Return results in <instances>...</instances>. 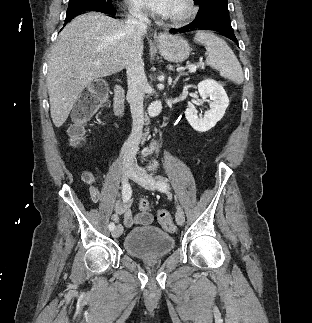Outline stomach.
I'll return each instance as SVG.
<instances>
[{"instance_id": "0dacf381", "label": "stomach", "mask_w": 312, "mask_h": 323, "mask_svg": "<svg viewBox=\"0 0 312 323\" xmlns=\"http://www.w3.org/2000/svg\"><path fill=\"white\" fill-rule=\"evenodd\" d=\"M159 50L165 60L175 62V64L185 62L191 52L188 42L182 36H171V34H165L163 38H160Z\"/></svg>"}]
</instances>
